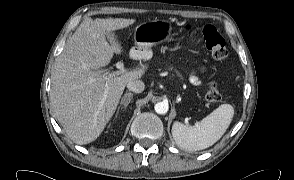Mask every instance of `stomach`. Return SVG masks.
<instances>
[{
	"label": "stomach",
	"instance_id": "1",
	"mask_svg": "<svg viewBox=\"0 0 294 180\" xmlns=\"http://www.w3.org/2000/svg\"><path fill=\"white\" fill-rule=\"evenodd\" d=\"M172 32V24L169 20H149L137 25L134 31L136 53L144 56L151 47L166 41Z\"/></svg>",
	"mask_w": 294,
	"mask_h": 180
}]
</instances>
